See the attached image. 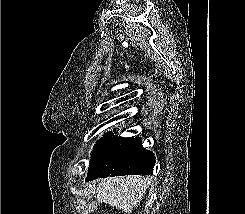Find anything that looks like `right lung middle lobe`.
Masks as SVG:
<instances>
[{"mask_svg":"<svg viewBox=\"0 0 245 214\" xmlns=\"http://www.w3.org/2000/svg\"><path fill=\"white\" fill-rule=\"evenodd\" d=\"M111 135L112 133L104 135V137L96 143L91 155L88 176L111 172L118 167V146L125 138L111 137Z\"/></svg>","mask_w":245,"mask_h":214,"instance_id":"obj_1","label":"right lung middle lobe"}]
</instances>
